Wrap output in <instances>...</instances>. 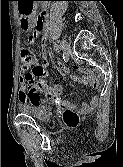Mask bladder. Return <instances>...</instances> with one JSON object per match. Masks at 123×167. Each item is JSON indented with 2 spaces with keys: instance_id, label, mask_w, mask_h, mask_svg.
<instances>
[{
  "instance_id": "31cf9c89",
  "label": "bladder",
  "mask_w": 123,
  "mask_h": 167,
  "mask_svg": "<svg viewBox=\"0 0 123 167\" xmlns=\"http://www.w3.org/2000/svg\"><path fill=\"white\" fill-rule=\"evenodd\" d=\"M19 110L36 120L46 121L52 116L51 106L47 103L27 104L20 103Z\"/></svg>"
}]
</instances>
